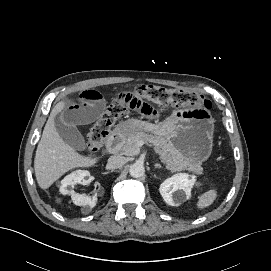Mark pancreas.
Here are the masks:
<instances>
[{"mask_svg":"<svg viewBox=\"0 0 271 271\" xmlns=\"http://www.w3.org/2000/svg\"><path fill=\"white\" fill-rule=\"evenodd\" d=\"M140 141L153 144L154 151L159 155L168 170L177 172L187 169L197 175L203 174L201 163H189L164 137L154 136L143 131H135L128 136L121 149L122 153L126 156L137 155L140 152L138 145Z\"/></svg>","mask_w":271,"mask_h":271,"instance_id":"cf45deb5","label":"pancreas"}]
</instances>
